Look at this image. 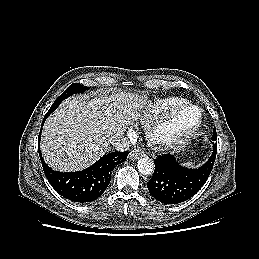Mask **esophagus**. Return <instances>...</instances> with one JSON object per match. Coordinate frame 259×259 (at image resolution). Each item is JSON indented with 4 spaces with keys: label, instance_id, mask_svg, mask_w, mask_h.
I'll return each mask as SVG.
<instances>
[{
    "label": "esophagus",
    "instance_id": "1",
    "mask_svg": "<svg viewBox=\"0 0 259 259\" xmlns=\"http://www.w3.org/2000/svg\"><path fill=\"white\" fill-rule=\"evenodd\" d=\"M143 155H144V153L140 149H133L132 151H130L128 157L131 160H136V159H139L140 157H142Z\"/></svg>",
    "mask_w": 259,
    "mask_h": 259
}]
</instances>
